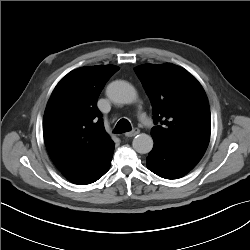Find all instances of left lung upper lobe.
Returning <instances> with one entry per match:
<instances>
[{
    "instance_id": "obj_1",
    "label": "left lung upper lobe",
    "mask_w": 250,
    "mask_h": 250,
    "mask_svg": "<svg viewBox=\"0 0 250 250\" xmlns=\"http://www.w3.org/2000/svg\"><path fill=\"white\" fill-rule=\"evenodd\" d=\"M152 104L153 139L176 147L206 150L211 131L210 109L200 83L173 64H145L135 68Z\"/></svg>"
}]
</instances>
